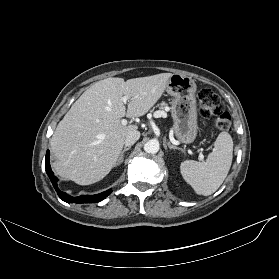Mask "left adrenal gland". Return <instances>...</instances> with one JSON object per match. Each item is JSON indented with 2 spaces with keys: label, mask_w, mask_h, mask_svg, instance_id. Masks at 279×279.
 I'll use <instances>...</instances> for the list:
<instances>
[{
  "label": "left adrenal gland",
  "mask_w": 279,
  "mask_h": 279,
  "mask_svg": "<svg viewBox=\"0 0 279 279\" xmlns=\"http://www.w3.org/2000/svg\"><path fill=\"white\" fill-rule=\"evenodd\" d=\"M167 145H168L169 149H173V150H180V151H181V149H180V148H178V147H176V146L172 145L170 142H167Z\"/></svg>",
  "instance_id": "left-adrenal-gland-1"
}]
</instances>
